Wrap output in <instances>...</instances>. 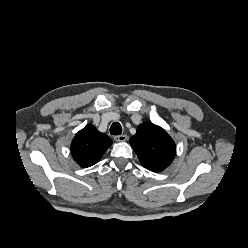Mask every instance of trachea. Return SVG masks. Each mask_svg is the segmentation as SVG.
<instances>
[{
	"mask_svg": "<svg viewBox=\"0 0 248 248\" xmlns=\"http://www.w3.org/2000/svg\"><path fill=\"white\" fill-rule=\"evenodd\" d=\"M110 133L112 135H120L122 133V126L118 122H114L110 127Z\"/></svg>",
	"mask_w": 248,
	"mask_h": 248,
	"instance_id": "trachea-1",
	"label": "trachea"
}]
</instances>
